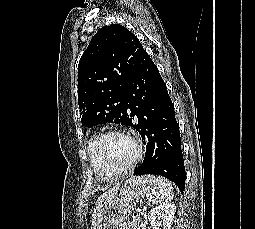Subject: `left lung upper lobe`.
Wrapping results in <instances>:
<instances>
[{
    "instance_id": "1",
    "label": "left lung upper lobe",
    "mask_w": 255,
    "mask_h": 229,
    "mask_svg": "<svg viewBox=\"0 0 255 229\" xmlns=\"http://www.w3.org/2000/svg\"><path fill=\"white\" fill-rule=\"evenodd\" d=\"M143 51L138 38L120 24L104 26L92 37L78 65L83 126L127 125L123 93Z\"/></svg>"
}]
</instances>
